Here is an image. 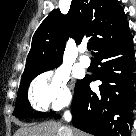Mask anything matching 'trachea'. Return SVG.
<instances>
[{
	"label": "trachea",
	"instance_id": "trachea-1",
	"mask_svg": "<svg viewBox=\"0 0 136 136\" xmlns=\"http://www.w3.org/2000/svg\"><path fill=\"white\" fill-rule=\"evenodd\" d=\"M87 49L90 51L91 50V44L87 45Z\"/></svg>",
	"mask_w": 136,
	"mask_h": 136
}]
</instances>
